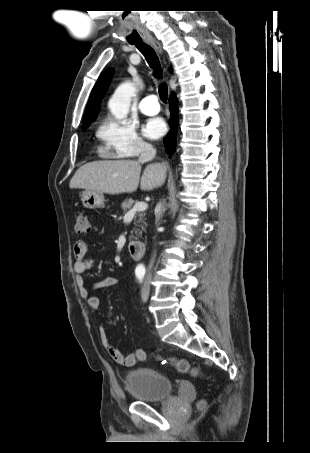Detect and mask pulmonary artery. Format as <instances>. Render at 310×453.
I'll use <instances>...</instances> for the list:
<instances>
[{"label":"pulmonary artery","mask_w":310,"mask_h":453,"mask_svg":"<svg viewBox=\"0 0 310 453\" xmlns=\"http://www.w3.org/2000/svg\"><path fill=\"white\" fill-rule=\"evenodd\" d=\"M140 111L149 116H153L159 113L160 106L157 101V97L154 94L144 97L139 104Z\"/></svg>","instance_id":"1"}]
</instances>
